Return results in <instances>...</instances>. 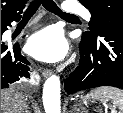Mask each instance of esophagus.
<instances>
[{
    "instance_id": "esophagus-1",
    "label": "esophagus",
    "mask_w": 123,
    "mask_h": 113,
    "mask_svg": "<svg viewBox=\"0 0 123 113\" xmlns=\"http://www.w3.org/2000/svg\"><path fill=\"white\" fill-rule=\"evenodd\" d=\"M41 74H42V76H43L44 78H47L48 76H50V75L52 74V71L49 70V69H43V70L41 71Z\"/></svg>"
}]
</instances>
